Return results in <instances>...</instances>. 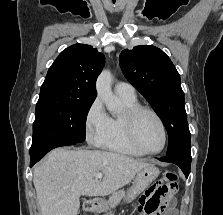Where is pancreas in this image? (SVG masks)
Segmentation results:
<instances>
[{
    "instance_id": "obj_1",
    "label": "pancreas",
    "mask_w": 223,
    "mask_h": 215,
    "mask_svg": "<svg viewBox=\"0 0 223 215\" xmlns=\"http://www.w3.org/2000/svg\"><path fill=\"white\" fill-rule=\"evenodd\" d=\"M121 189H117V191H114V193H112V195H110L109 199L111 200V202H118L117 200L120 198H123V195L126 194V191H124V189H122L124 192L121 194L119 191ZM122 196V197H120ZM108 206H112V205H108ZM112 210V209H111ZM104 215H114L113 211H111L110 213H104Z\"/></svg>"
}]
</instances>
